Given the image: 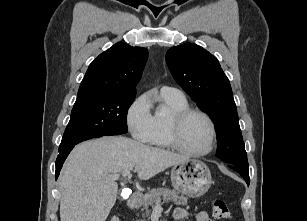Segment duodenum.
Instances as JSON below:
<instances>
[{
	"instance_id": "obj_1",
	"label": "duodenum",
	"mask_w": 307,
	"mask_h": 221,
	"mask_svg": "<svg viewBox=\"0 0 307 221\" xmlns=\"http://www.w3.org/2000/svg\"><path fill=\"white\" fill-rule=\"evenodd\" d=\"M140 201H141V195L134 194L127 200V206L129 209L135 210L138 208Z\"/></svg>"
}]
</instances>
